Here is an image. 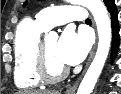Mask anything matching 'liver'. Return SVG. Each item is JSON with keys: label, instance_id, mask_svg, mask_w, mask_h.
I'll return each instance as SVG.
<instances>
[{"label": "liver", "instance_id": "1", "mask_svg": "<svg viewBox=\"0 0 121 94\" xmlns=\"http://www.w3.org/2000/svg\"><path fill=\"white\" fill-rule=\"evenodd\" d=\"M19 94H61L59 91L57 90H45V91H40V90H36V91H25V92H20Z\"/></svg>", "mask_w": 121, "mask_h": 94}]
</instances>
